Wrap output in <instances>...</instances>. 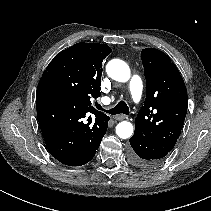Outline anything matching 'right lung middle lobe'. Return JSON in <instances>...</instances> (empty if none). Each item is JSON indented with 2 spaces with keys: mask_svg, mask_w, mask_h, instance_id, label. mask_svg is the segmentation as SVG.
<instances>
[{
  "mask_svg": "<svg viewBox=\"0 0 211 211\" xmlns=\"http://www.w3.org/2000/svg\"><path fill=\"white\" fill-rule=\"evenodd\" d=\"M46 83L52 88H56V89H59V90H62V91H65L67 93L74 95V92L70 88H68L62 84V76L61 75L54 73V74L48 76L46 78Z\"/></svg>",
  "mask_w": 211,
  "mask_h": 211,
  "instance_id": "1",
  "label": "right lung middle lobe"
}]
</instances>
